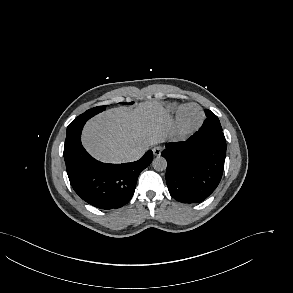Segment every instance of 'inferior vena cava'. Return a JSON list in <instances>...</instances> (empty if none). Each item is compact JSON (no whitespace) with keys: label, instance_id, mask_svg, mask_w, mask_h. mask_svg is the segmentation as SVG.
I'll list each match as a JSON object with an SVG mask.
<instances>
[{"label":"inferior vena cava","instance_id":"obj_1","mask_svg":"<svg viewBox=\"0 0 293 293\" xmlns=\"http://www.w3.org/2000/svg\"><path fill=\"white\" fill-rule=\"evenodd\" d=\"M143 152L142 151H133L130 152L129 154H127V160L130 161H136L138 159H140L143 156Z\"/></svg>","mask_w":293,"mask_h":293}]
</instances>
